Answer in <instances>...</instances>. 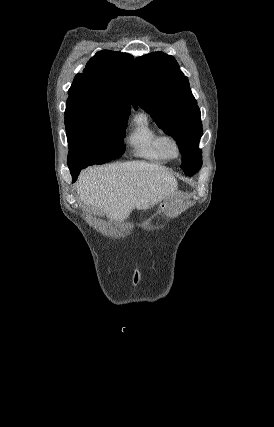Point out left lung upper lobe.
Here are the masks:
<instances>
[{
	"mask_svg": "<svg viewBox=\"0 0 274 427\" xmlns=\"http://www.w3.org/2000/svg\"><path fill=\"white\" fill-rule=\"evenodd\" d=\"M128 97L157 125L174 137L183 156L182 168L189 176L202 164L198 148L202 136L200 109L175 58L153 52L136 58L128 80Z\"/></svg>",
	"mask_w": 274,
	"mask_h": 427,
	"instance_id": "left-lung-upper-lobe-1",
	"label": "left lung upper lobe"
}]
</instances>
